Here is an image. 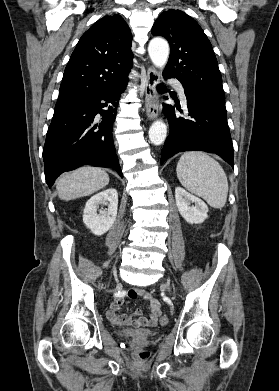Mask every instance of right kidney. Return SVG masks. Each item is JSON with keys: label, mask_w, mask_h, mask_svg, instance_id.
<instances>
[{"label": "right kidney", "mask_w": 279, "mask_h": 391, "mask_svg": "<svg viewBox=\"0 0 279 391\" xmlns=\"http://www.w3.org/2000/svg\"><path fill=\"white\" fill-rule=\"evenodd\" d=\"M99 205L108 208L97 210ZM118 209V193L114 188H109L92 196L86 203L83 214V222L97 236L106 233L114 224Z\"/></svg>", "instance_id": "1"}]
</instances>
